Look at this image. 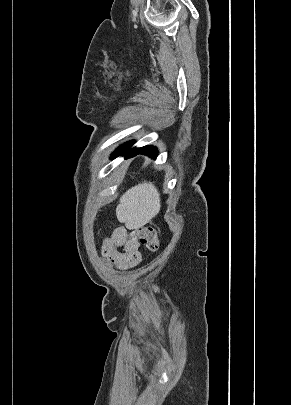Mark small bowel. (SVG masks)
Segmentation results:
<instances>
[{
	"label": "small bowel",
	"instance_id": "1",
	"mask_svg": "<svg viewBox=\"0 0 291 405\" xmlns=\"http://www.w3.org/2000/svg\"><path fill=\"white\" fill-rule=\"evenodd\" d=\"M101 254L108 263L121 270L135 267L142 260L139 242L126 226L116 228L103 241Z\"/></svg>",
	"mask_w": 291,
	"mask_h": 405
}]
</instances>
